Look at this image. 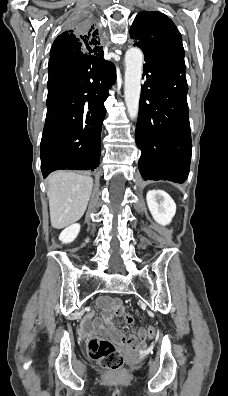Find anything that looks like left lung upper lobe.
Returning a JSON list of instances; mask_svg holds the SVG:
<instances>
[{
  "label": "left lung upper lobe",
  "instance_id": "1",
  "mask_svg": "<svg viewBox=\"0 0 228 396\" xmlns=\"http://www.w3.org/2000/svg\"><path fill=\"white\" fill-rule=\"evenodd\" d=\"M130 37L144 54L171 62L185 72L182 36L163 13L140 12L130 28Z\"/></svg>",
  "mask_w": 228,
  "mask_h": 396
}]
</instances>
